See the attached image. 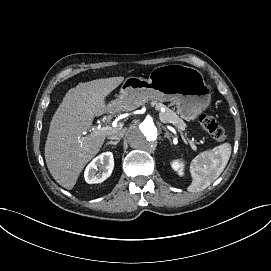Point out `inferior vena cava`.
<instances>
[{"label":"inferior vena cava","mask_w":271,"mask_h":271,"mask_svg":"<svg viewBox=\"0 0 271 271\" xmlns=\"http://www.w3.org/2000/svg\"><path fill=\"white\" fill-rule=\"evenodd\" d=\"M124 136V130L116 129L113 133H110L108 139L119 141Z\"/></svg>","instance_id":"inferior-vena-cava-1"}]
</instances>
